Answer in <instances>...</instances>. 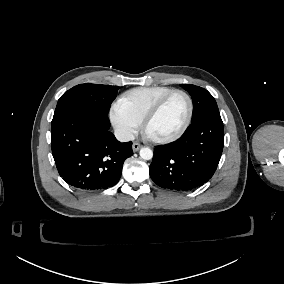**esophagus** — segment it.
<instances>
[{
	"label": "esophagus",
	"instance_id": "obj_1",
	"mask_svg": "<svg viewBox=\"0 0 284 284\" xmlns=\"http://www.w3.org/2000/svg\"><path fill=\"white\" fill-rule=\"evenodd\" d=\"M140 147H141V144L138 143V142H134L133 145H132L134 152H137L140 149Z\"/></svg>",
	"mask_w": 284,
	"mask_h": 284
}]
</instances>
